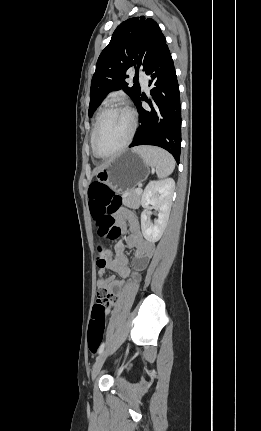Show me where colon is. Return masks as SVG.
<instances>
[{"mask_svg": "<svg viewBox=\"0 0 261 431\" xmlns=\"http://www.w3.org/2000/svg\"><path fill=\"white\" fill-rule=\"evenodd\" d=\"M90 213L95 221L98 236L105 240H116L121 234L117 226L114 213L120 205V197L107 185L95 181L88 189ZM115 259V255L107 249L100 248L97 265H104L108 260ZM114 303V298L105 290L97 292L96 303L92 310L88 330V346L95 352L104 336L106 326L105 310L107 305Z\"/></svg>", "mask_w": 261, "mask_h": 431, "instance_id": "colon-1", "label": "colon"}]
</instances>
